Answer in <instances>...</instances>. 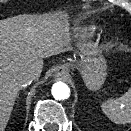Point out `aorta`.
<instances>
[{"instance_id":"aorta-1","label":"aorta","mask_w":131,"mask_h":131,"mask_svg":"<svg viewBox=\"0 0 131 131\" xmlns=\"http://www.w3.org/2000/svg\"><path fill=\"white\" fill-rule=\"evenodd\" d=\"M51 93L55 100H65L70 96V88L63 82H56L52 86Z\"/></svg>"}]
</instances>
